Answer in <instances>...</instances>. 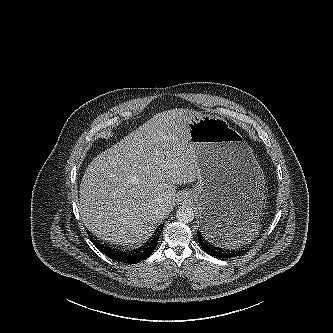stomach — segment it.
Returning <instances> with one entry per match:
<instances>
[{
  "label": "stomach",
  "mask_w": 333,
  "mask_h": 333,
  "mask_svg": "<svg viewBox=\"0 0 333 333\" xmlns=\"http://www.w3.org/2000/svg\"><path fill=\"white\" fill-rule=\"evenodd\" d=\"M198 179L190 197L200 227L219 248H242L258 233L264 204L262 168L243 136L218 116L187 111Z\"/></svg>",
  "instance_id": "1"
}]
</instances>
